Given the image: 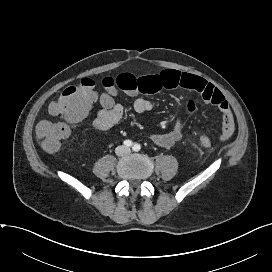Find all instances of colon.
<instances>
[{
  "mask_svg": "<svg viewBox=\"0 0 272 272\" xmlns=\"http://www.w3.org/2000/svg\"><path fill=\"white\" fill-rule=\"evenodd\" d=\"M102 87V93L98 94L95 89V81L88 77L82 78L76 84L65 88L50 104L49 112L62 117L64 121L44 120L37 125L36 133L42 140V147L45 151H57L70 135V124L84 118L94 103L99 101L103 107H109L114 103L117 93L115 79L104 78ZM199 144L204 148H209L212 140L203 135L199 138Z\"/></svg>",
  "mask_w": 272,
  "mask_h": 272,
  "instance_id": "1",
  "label": "colon"
}]
</instances>
